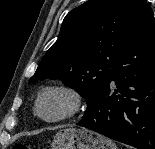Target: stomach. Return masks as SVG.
Here are the masks:
<instances>
[{"instance_id":"1","label":"stomach","mask_w":155,"mask_h":149,"mask_svg":"<svg viewBox=\"0 0 155 149\" xmlns=\"http://www.w3.org/2000/svg\"><path fill=\"white\" fill-rule=\"evenodd\" d=\"M52 149H118L116 144L88 129L66 127L54 136Z\"/></svg>"}]
</instances>
